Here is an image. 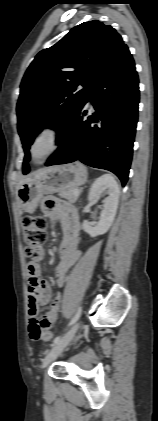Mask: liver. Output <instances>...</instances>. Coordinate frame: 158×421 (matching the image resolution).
Returning <instances> with one entry per match:
<instances>
[{"label": "liver", "mask_w": 158, "mask_h": 421, "mask_svg": "<svg viewBox=\"0 0 158 421\" xmlns=\"http://www.w3.org/2000/svg\"><path fill=\"white\" fill-rule=\"evenodd\" d=\"M50 168H42L39 169L35 172H33L30 176L26 177L25 179L21 180L19 185L25 183V182H29L33 179L39 178L41 175H43L44 173H46Z\"/></svg>", "instance_id": "liver-1"}]
</instances>
